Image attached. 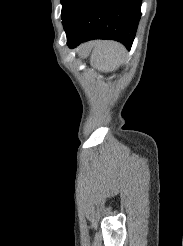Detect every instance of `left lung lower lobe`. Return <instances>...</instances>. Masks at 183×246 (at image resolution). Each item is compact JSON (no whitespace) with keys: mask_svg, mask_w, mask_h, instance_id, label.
I'll return each mask as SVG.
<instances>
[{"mask_svg":"<svg viewBox=\"0 0 183 246\" xmlns=\"http://www.w3.org/2000/svg\"><path fill=\"white\" fill-rule=\"evenodd\" d=\"M142 0H73L62 23L69 48L91 39H112L130 49Z\"/></svg>","mask_w":183,"mask_h":246,"instance_id":"1","label":"left lung lower lobe"}]
</instances>
